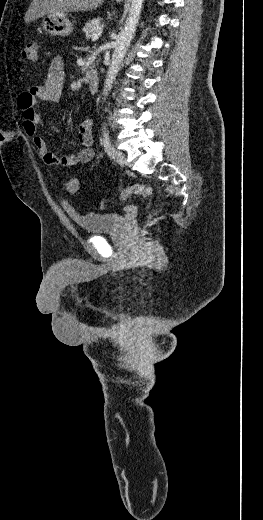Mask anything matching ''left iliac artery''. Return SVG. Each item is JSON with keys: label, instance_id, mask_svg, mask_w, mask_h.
Returning a JSON list of instances; mask_svg holds the SVG:
<instances>
[{"label": "left iliac artery", "instance_id": "left-iliac-artery-1", "mask_svg": "<svg viewBox=\"0 0 263 520\" xmlns=\"http://www.w3.org/2000/svg\"><path fill=\"white\" fill-rule=\"evenodd\" d=\"M103 144H104L105 152L109 156H111L112 146H111L109 134H108V132H107L105 127H104V131H103Z\"/></svg>", "mask_w": 263, "mask_h": 520}]
</instances>
